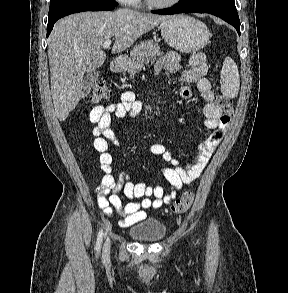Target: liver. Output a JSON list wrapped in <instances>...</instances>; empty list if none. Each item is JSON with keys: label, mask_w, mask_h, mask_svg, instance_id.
Instances as JSON below:
<instances>
[{"label": "liver", "mask_w": 288, "mask_h": 293, "mask_svg": "<svg viewBox=\"0 0 288 293\" xmlns=\"http://www.w3.org/2000/svg\"><path fill=\"white\" fill-rule=\"evenodd\" d=\"M169 16L130 9L83 12L57 21L49 37L51 94L56 115L64 121L82 97L85 74L103 65V43L115 36L112 53L129 48Z\"/></svg>", "instance_id": "obj_1"}]
</instances>
